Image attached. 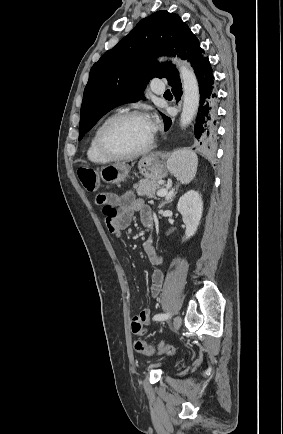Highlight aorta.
Instances as JSON below:
<instances>
[{"label":"aorta","instance_id":"aorta-1","mask_svg":"<svg viewBox=\"0 0 283 434\" xmlns=\"http://www.w3.org/2000/svg\"><path fill=\"white\" fill-rule=\"evenodd\" d=\"M166 58H160L159 61H164ZM174 62L180 72V77L183 86V108L180 118L182 128L187 127L193 120L199 107V86L194 71L182 61L170 59Z\"/></svg>","mask_w":283,"mask_h":434}]
</instances>
